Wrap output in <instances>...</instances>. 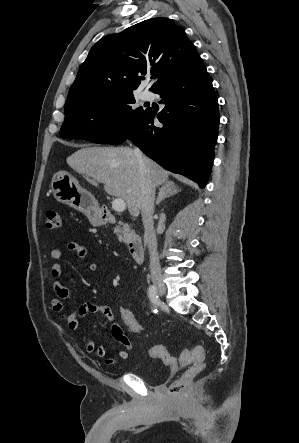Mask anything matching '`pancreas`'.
<instances>
[{
  "mask_svg": "<svg viewBox=\"0 0 299 443\" xmlns=\"http://www.w3.org/2000/svg\"><path fill=\"white\" fill-rule=\"evenodd\" d=\"M119 224L122 225V227L115 229L119 241L127 243L130 240L131 236L134 235V231H131L127 224H123L122 222H120Z\"/></svg>",
  "mask_w": 299,
  "mask_h": 443,
  "instance_id": "pancreas-1",
  "label": "pancreas"
}]
</instances>
